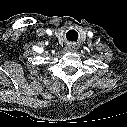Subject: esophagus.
Here are the masks:
<instances>
[{
  "label": "esophagus",
  "mask_w": 127,
  "mask_h": 127,
  "mask_svg": "<svg viewBox=\"0 0 127 127\" xmlns=\"http://www.w3.org/2000/svg\"><path fill=\"white\" fill-rule=\"evenodd\" d=\"M76 48V44L75 43H68L66 46V50L67 51H74Z\"/></svg>",
  "instance_id": "1"
}]
</instances>
